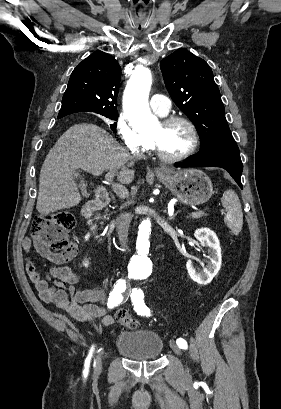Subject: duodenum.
<instances>
[{
	"label": "duodenum",
	"mask_w": 281,
	"mask_h": 409,
	"mask_svg": "<svg viewBox=\"0 0 281 409\" xmlns=\"http://www.w3.org/2000/svg\"><path fill=\"white\" fill-rule=\"evenodd\" d=\"M109 193H110L109 186H98L95 192L96 200L88 201L84 205L82 212L88 227L91 229L94 237L100 242L103 240V238L102 235L100 234L99 228L93 217V214L100 211L106 203L110 202L111 197Z\"/></svg>",
	"instance_id": "duodenum-1"
}]
</instances>
